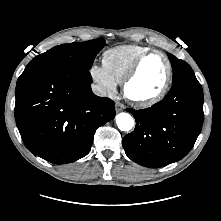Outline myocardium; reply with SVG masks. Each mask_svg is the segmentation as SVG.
<instances>
[{"label":"myocardium","mask_w":221,"mask_h":221,"mask_svg":"<svg viewBox=\"0 0 221 221\" xmlns=\"http://www.w3.org/2000/svg\"><path fill=\"white\" fill-rule=\"evenodd\" d=\"M152 54L161 55L166 62L167 73H166L165 81H164L161 89L156 94H154L150 97H147V98H136L129 93V85L131 84L133 79L138 74L143 61L148 56H150ZM172 77H173V64H172L169 56L164 51H161L158 49H149V50L145 51L144 53H142L135 60V62L133 63V65L128 70L127 74L125 75L123 82H122L124 96L127 100H129L130 102H132L133 104H135L138 107H149L151 105H154V104L160 102L167 95V93L170 89L171 82H172Z\"/></svg>","instance_id":"f54148a6"}]
</instances>
